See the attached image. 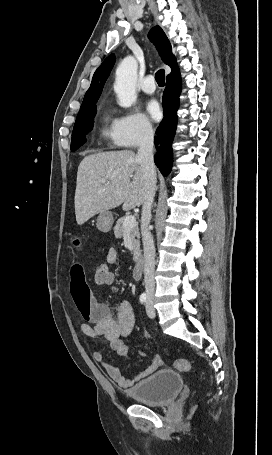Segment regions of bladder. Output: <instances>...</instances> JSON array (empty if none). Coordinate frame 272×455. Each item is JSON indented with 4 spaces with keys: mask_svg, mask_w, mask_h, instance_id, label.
<instances>
[{
    "mask_svg": "<svg viewBox=\"0 0 272 455\" xmlns=\"http://www.w3.org/2000/svg\"><path fill=\"white\" fill-rule=\"evenodd\" d=\"M182 387L183 379L179 373L163 369L140 380L128 394L137 402L158 406L174 400Z\"/></svg>",
    "mask_w": 272,
    "mask_h": 455,
    "instance_id": "obj_1",
    "label": "bladder"
}]
</instances>
